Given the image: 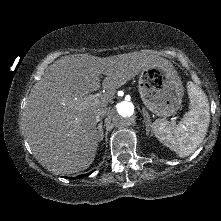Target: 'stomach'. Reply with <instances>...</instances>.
Wrapping results in <instances>:
<instances>
[{"instance_id": "0dacf381", "label": "stomach", "mask_w": 221, "mask_h": 221, "mask_svg": "<svg viewBox=\"0 0 221 221\" xmlns=\"http://www.w3.org/2000/svg\"><path fill=\"white\" fill-rule=\"evenodd\" d=\"M138 83L143 103L156 115L166 118L181 107L184 89L174 68L155 66L144 69Z\"/></svg>"}]
</instances>
